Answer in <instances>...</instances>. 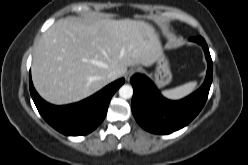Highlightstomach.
<instances>
[{
    "label": "stomach",
    "instance_id": "0dacf381",
    "mask_svg": "<svg viewBox=\"0 0 248 165\" xmlns=\"http://www.w3.org/2000/svg\"><path fill=\"white\" fill-rule=\"evenodd\" d=\"M155 63L156 67L153 72L155 82L159 87L166 86L172 80V73L170 71L169 62L161 53L156 59Z\"/></svg>",
    "mask_w": 248,
    "mask_h": 165
}]
</instances>
